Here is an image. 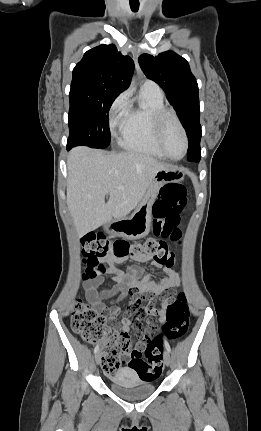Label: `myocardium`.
Masks as SVG:
<instances>
[{
	"mask_svg": "<svg viewBox=\"0 0 261 431\" xmlns=\"http://www.w3.org/2000/svg\"><path fill=\"white\" fill-rule=\"evenodd\" d=\"M169 120H172L177 125V127L181 131V134H182L183 139H184L185 147H184L183 154L177 158L172 157L168 154V152L165 149L164 143H163L164 129H165V126ZM152 122H153L155 141H156L159 149L161 150V152L165 155V157H167L173 161H178V160L183 159L185 157V155L187 154V151L189 148V140H188L186 130H185L182 122L178 118L177 114L174 111L169 110V109L159 110V111H156L152 114Z\"/></svg>",
	"mask_w": 261,
	"mask_h": 431,
	"instance_id": "obj_1",
	"label": "myocardium"
}]
</instances>
